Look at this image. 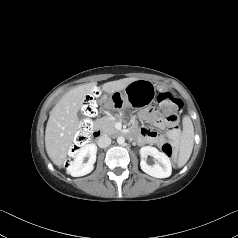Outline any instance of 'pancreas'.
<instances>
[{
	"mask_svg": "<svg viewBox=\"0 0 238 238\" xmlns=\"http://www.w3.org/2000/svg\"><path fill=\"white\" fill-rule=\"evenodd\" d=\"M115 120L112 117H103L95 121V127L104 133L113 134L115 129Z\"/></svg>",
	"mask_w": 238,
	"mask_h": 238,
	"instance_id": "cf45deb5",
	"label": "pancreas"
}]
</instances>
